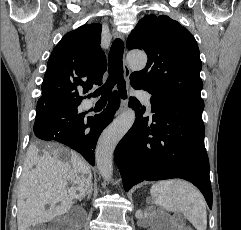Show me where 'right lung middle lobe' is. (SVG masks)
Returning a JSON list of instances; mask_svg holds the SVG:
<instances>
[{
    "label": "right lung middle lobe",
    "mask_w": 241,
    "mask_h": 230,
    "mask_svg": "<svg viewBox=\"0 0 241 230\" xmlns=\"http://www.w3.org/2000/svg\"><path fill=\"white\" fill-rule=\"evenodd\" d=\"M79 103H69L64 105H37V110H43L45 113H55V116L49 119H46L44 122L50 124L53 128L60 130L69 129L71 126L76 125L84 117V113L78 111ZM48 115H51L47 113Z\"/></svg>",
    "instance_id": "right-lung-middle-lobe-1"
}]
</instances>
